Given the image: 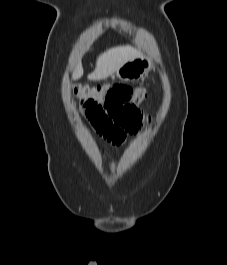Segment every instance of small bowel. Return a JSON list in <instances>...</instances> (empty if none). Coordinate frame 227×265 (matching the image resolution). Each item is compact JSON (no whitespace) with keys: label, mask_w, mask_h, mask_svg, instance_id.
I'll use <instances>...</instances> for the list:
<instances>
[{"label":"small bowel","mask_w":227,"mask_h":265,"mask_svg":"<svg viewBox=\"0 0 227 265\" xmlns=\"http://www.w3.org/2000/svg\"><path fill=\"white\" fill-rule=\"evenodd\" d=\"M80 107L94 130L104 140L114 146H120L126 142L128 133L117 127L115 120H111V116H107L102 102H80Z\"/></svg>","instance_id":"1"}]
</instances>
